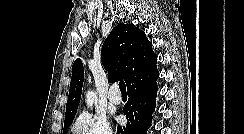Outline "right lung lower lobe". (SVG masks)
Returning <instances> with one entry per match:
<instances>
[{"label":"right lung lower lobe","instance_id":"right-lung-lower-lobe-1","mask_svg":"<svg viewBox=\"0 0 244 134\" xmlns=\"http://www.w3.org/2000/svg\"><path fill=\"white\" fill-rule=\"evenodd\" d=\"M159 73L128 88V102L124 106L126 126L117 127V134H146L156 107L157 79Z\"/></svg>","mask_w":244,"mask_h":134}]
</instances>
